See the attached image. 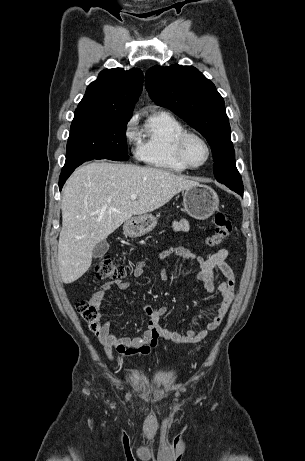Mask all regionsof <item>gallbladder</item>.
I'll list each match as a JSON object with an SVG mask.
<instances>
[{
    "label": "gallbladder",
    "mask_w": 305,
    "mask_h": 461,
    "mask_svg": "<svg viewBox=\"0 0 305 461\" xmlns=\"http://www.w3.org/2000/svg\"><path fill=\"white\" fill-rule=\"evenodd\" d=\"M109 249V244L106 240H103L96 244L93 249L92 256L93 258H100L106 254Z\"/></svg>",
    "instance_id": "bac80fb5"
}]
</instances>
